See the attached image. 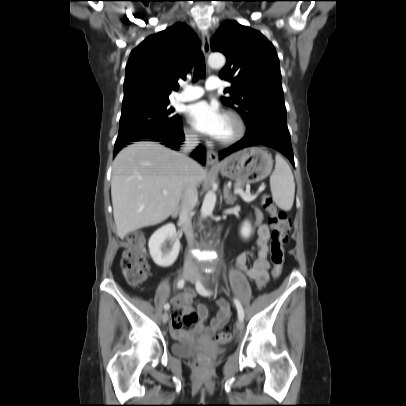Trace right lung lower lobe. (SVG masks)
<instances>
[{"label": "right lung lower lobe", "mask_w": 406, "mask_h": 406, "mask_svg": "<svg viewBox=\"0 0 406 406\" xmlns=\"http://www.w3.org/2000/svg\"><path fill=\"white\" fill-rule=\"evenodd\" d=\"M143 140L160 142L161 144L166 145V147L172 148L174 150H179L180 145L184 141V133L182 130L181 120L176 124L175 127L167 131L116 140L114 146V155H116L122 148H124L131 142ZM190 156L202 164H205L206 162V150L202 146H198L197 149H195V151L192 152Z\"/></svg>", "instance_id": "98d812e1"}]
</instances>
